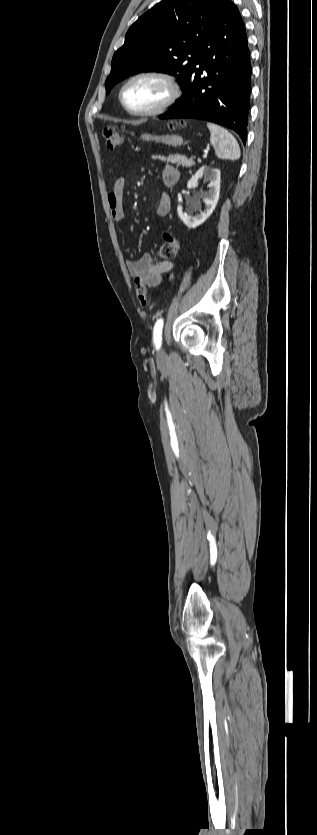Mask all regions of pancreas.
<instances>
[{
	"instance_id": "pancreas-1",
	"label": "pancreas",
	"mask_w": 317,
	"mask_h": 835,
	"mask_svg": "<svg viewBox=\"0 0 317 835\" xmlns=\"http://www.w3.org/2000/svg\"><path fill=\"white\" fill-rule=\"evenodd\" d=\"M152 158L153 159H159L161 161H167V162H170L172 164H177L178 166L182 165L183 167H190V166L195 165V162L192 158L188 159L186 156H184L182 154L169 155L167 158L162 156V155H158V156L153 155Z\"/></svg>"
}]
</instances>
